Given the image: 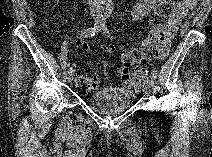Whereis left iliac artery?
Masks as SVG:
<instances>
[{"instance_id": "1", "label": "left iliac artery", "mask_w": 212, "mask_h": 157, "mask_svg": "<svg viewBox=\"0 0 212 157\" xmlns=\"http://www.w3.org/2000/svg\"><path fill=\"white\" fill-rule=\"evenodd\" d=\"M105 23H106V22L104 21L102 31H103V33H104L105 35H107L108 37H110L109 30H108V28H107V26H106ZM144 84H147V85H149V86H151V87H154L153 82H152L149 78H146V79L144 80Z\"/></svg>"}]
</instances>
